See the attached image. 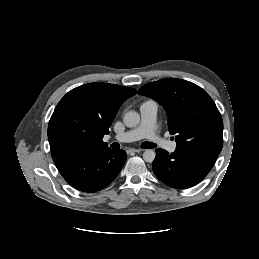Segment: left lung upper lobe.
<instances>
[{"label":"left lung upper lobe","instance_id":"5c2ea615","mask_svg":"<svg viewBox=\"0 0 259 259\" xmlns=\"http://www.w3.org/2000/svg\"><path fill=\"white\" fill-rule=\"evenodd\" d=\"M138 94L161 104L168 115V127L175 134L176 149L221 151L223 121L212 98L194 83L165 78L142 86Z\"/></svg>","mask_w":259,"mask_h":259}]
</instances>
